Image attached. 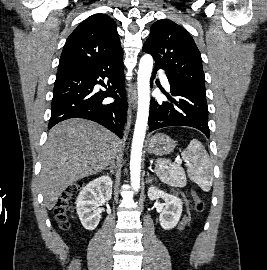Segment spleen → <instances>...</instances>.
Returning <instances> with one entry per match:
<instances>
[{
  "instance_id": "3e777b00",
  "label": "spleen",
  "mask_w": 267,
  "mask_h": 270,
  "mask_svg": "<svg viewBox=\"0 0 267 270\" xmlns=\"http://www.w3.org/2000/svg\"><path fill=\"white\" fill-rule=\"evenodd\" d=\"M182 158L188 163L187 173L190 180L208 192L213 182V165L202 143L197 139L191 140L182 152ZM157 174L173 186L182 187L186 184L184 170L178 164H169L166 169L159 168Z\"/></svg>"
}]
</instances>
